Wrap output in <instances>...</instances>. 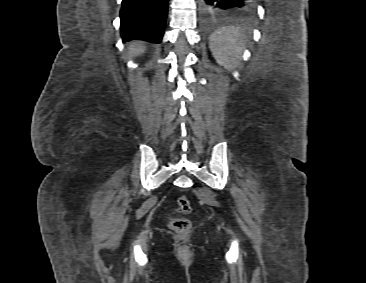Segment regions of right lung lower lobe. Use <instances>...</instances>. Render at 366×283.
<instances>
[{
    "label": "right lung lower lobe",
    "mask_w": 366,
    "mask_h": 283,
    "mask_svg": "<svg viewBox=\"0 0 366 283\" xmlns=\"http://www.w3.org/2000/svg\"><path fill=\"white\" fill-rule=\"evenodd\" d=\"M167 8L168 0H123L120 10L123 41L142 39L160 43Z\"/></svg>",
    "instance_id": "1"
}]
</instances>
